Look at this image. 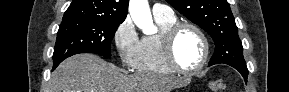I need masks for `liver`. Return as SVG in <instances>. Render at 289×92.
<instances>
[{"mask_svg":"<svg viewBox=\"0 0 289 92\" xmlns=\"http://www.w3.org/2000/svg\"><path fill=\"white\" fill-rule=\"evenodd\" d=\"M186 80L155 74L126 75L97 55L63 61L52 73L47 92H171Z\"/></svg>","mask_w":289,"mask_h":92,"instance_id":"6515ba94","label":"liver"}]
</instances>
